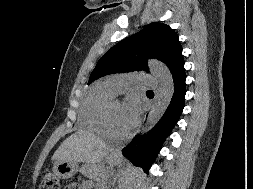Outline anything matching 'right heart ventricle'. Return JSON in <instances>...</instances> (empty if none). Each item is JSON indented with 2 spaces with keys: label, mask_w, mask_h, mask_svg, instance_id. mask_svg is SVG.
I'll return each mask as SVG.
<instances>
[{
  "label": "right heart ventricle",
  "mask_w": 253,
  "mask_h": 189,
  "mask_svg": "<svg viewBox=\"0 0 253 189\" xmlns=\"http://www.w3.org/2000/svg\"><path fill=\"white\" fill-rule=\"evenodd\" d=\"M114 94L107 82H100L93 86L85 97L80 110V121L83 127L97 134H105L102 125V111L106 102L113 98Z\"/></svg>",
  "instance_id": "e07e8e85"
}]
</instances>
